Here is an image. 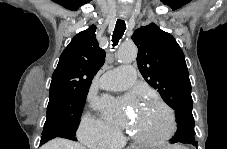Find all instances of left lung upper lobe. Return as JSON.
Returning a JSON list of instances; mask_svg holds the SVG:
<instances>
[{
  "instance_id": "obj_1",
  "label": "left lung upper lobe",
  "mask_w": 227,
  "mask_h": 149,
  "mask_svg": "<svg viewBox=\"0 0 227 149\" xmlns=\"http://www.w3.org/2000/svg\"><path fill=\"white\" fill-rule=\"evenodd\" d=\"M132 40L138 47L137 64L142 76L175 110L176 135L195 134L189 73L174 37L151 23L137 29Z\"/></svg>"
}]
</instances>
